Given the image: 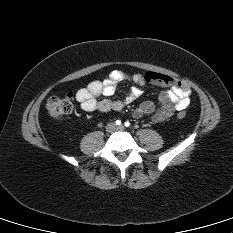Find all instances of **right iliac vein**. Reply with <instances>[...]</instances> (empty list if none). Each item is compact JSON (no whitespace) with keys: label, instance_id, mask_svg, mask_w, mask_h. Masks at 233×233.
Listing matches in <instances>:
<instances>
[{"label":"right iliac vein","instance_id":"1","mask_svg":"<svg viewBox=\"0 0 233 233\" xmlns=\"http://www.w3.org/2000/svg\"><path fill=\"white\" fill-rule=\"evenodd\" d=\"M114 129H115V125H114L113 123H109V124L107 125V127H106V130H107L108 132H113Z\"/></svg>","mask_w":233,"mask_h":233}]
</instances>
